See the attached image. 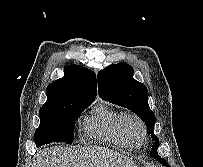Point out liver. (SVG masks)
<instances>
[{
    "label": "liver",
    "mask_w": 203,
    "mask_h": 167,
    "mask_svg": "<svg viewBox=\"0 0 203 167\" xmlns=\"http://www.w3.org/2000/svg\"><path fill=\"white\" fill-rule=\"evenodd\" d=\"M34 167H137L125 156L104 148H44L36 155Z\"/></svg>",
    "instance_id": "1"
}]
</instances>
